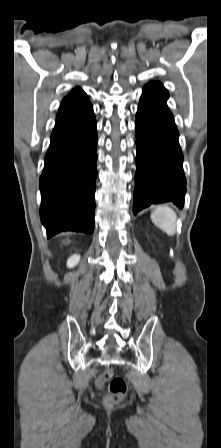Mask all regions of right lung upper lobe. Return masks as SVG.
Masks as SVG:
<instances>
[{
	"instance_id": "right-lung-upper-lobe-1",
	"label": "right lung upper lobe",
	"mask_w": 221,
	"mask_h": 448,
	"mask_svg": "<svg viewBox=\"0 0 221 448\" xmlns=\"http://www.w3.org/2000/svg\"><path fill=\"white\" fill-rule=\"evenodd\" d=\"M83 95H85V93H84V91L81 88H75L69 95H67L63 99V101L61 103V106L65 105V104H67V103H69V102H71V101H73V100H75V99H77V98H79V97H81Z\"/></svg>"
}]
</instances>
